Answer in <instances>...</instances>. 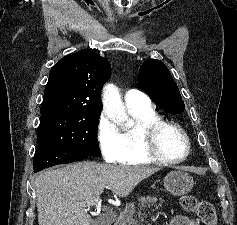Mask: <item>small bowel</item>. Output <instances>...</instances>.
<instances>
[{
  "mask_svg": "<svg viewBox=\"0 0 237 225\" xmlns=\"http://www.w3.org/2000/svg\"><path fill=\"white\" fill-rule=\"evenodd\" d=\"M167 225H199L196 219L183 215H177L170 219Z\"/></svg>",
  "mask_w": 237,
  "mask_h": 225,
  "instance_id": "1",
  "label": "small bowel"
}]
</instances>
